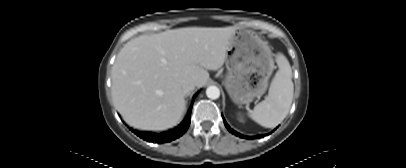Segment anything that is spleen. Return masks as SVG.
Masks as SVG:
<instances>
[{
  "instance_id": "obj_1",
  "label": "spleen",
  "mask_w": 406,
  "mask_h": 168,
  "mask_svg": "<svg viewBox=\"0 0 406 168\" xmlns=\"http://www.w3.org/2000/svg\"><path fill=\"white\" fill-rule=\"evenodd\" d=\"M276 62L279 70L271 82L268 96L249 113L255 122L266 128H273L285 119L293 99L291 66L281 53L277 54Z\"/></svg>"
}]
</instances>
